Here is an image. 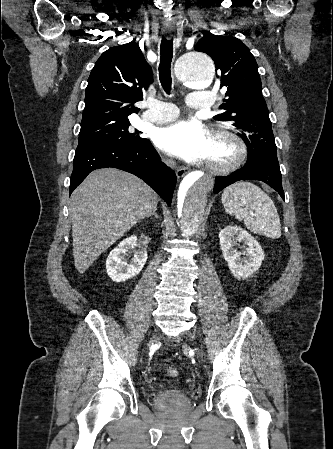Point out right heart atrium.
Listing matches in <instances>:
<instances>
[{"label": "right heart atrium", "instance_id": "obj_1", "mask_svg": "<svg viewBox=\"0 0 333 449\" xmlns=\"http://www.w3.org/2000/svg\"><path fill=\"white\" fill-rule=\"evenodd\" d=\"M166 163H167V164H170V161L167 160Z\"/></svg>", "mask_w": 333, "mask_h": 449}]
</instances>
